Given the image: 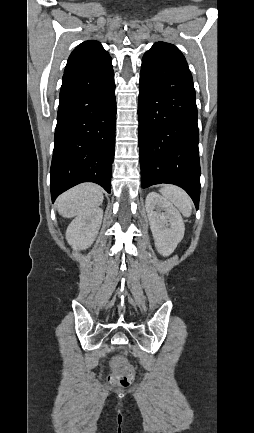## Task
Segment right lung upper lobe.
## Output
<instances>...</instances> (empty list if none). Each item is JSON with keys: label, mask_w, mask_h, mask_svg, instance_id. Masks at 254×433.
Segmentation results:
<instances>
[{"label": "right lung upper lobe", "mask_w": 254, "mask_h": 433, "mask_svg": "<svg viewBox=\"0 0 254 433\" xmlns=\"http://www.w3.org/2000/svg\"><path fill=\"white\" fill-rule=\"evenodd\" d=\"M111 59L98 41H85L79 44L69 56L65 72L95 67Z\"/></svg>", "instance_id": "cb5924a9"}]
</instances>
